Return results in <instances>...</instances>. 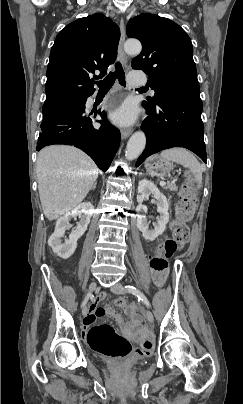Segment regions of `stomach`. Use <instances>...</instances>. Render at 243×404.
<instances>
[{
	"instance_id": "stomach-1",
	"label": "stomach",
	"mask_w": 243,
	"mask_h": 404,
	"mask_svg": "<svg viewBox=\"0 0 243 404\" xmlns=\"http://www.w3.org/2000/svg\"><path fill=\"white\" fill-rule=\"evenodd\" d=\"M171 167L170 160L159 155L151 156L145 162V169L151 176H164L170 172Z\"/></svg>"
}]
</instances>
